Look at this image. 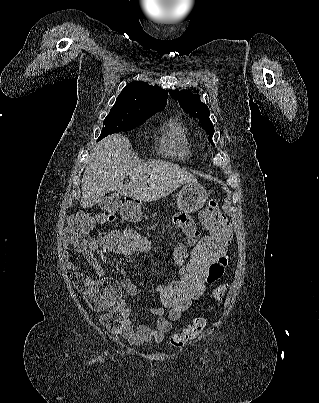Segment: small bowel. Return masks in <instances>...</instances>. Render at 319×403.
<instances>
[{
  "instance_id": "c3829d8e",
  "label": "small bowel",
  "mask_w": 319,
  "mask_h": 403,
  "mask_svg": "<svg viewBox=\"0 0 319 403\" xmlns=\"http://www.w3.org/2000/svg\"><path fill=\"white\" fill-rule=\"evenodd\" d=\"M173 223L180 227L189 239V241L185 240L183 244L177 245L173 254L174 261L178 266L179 275H183V268L187 265L185 259L191 253L189 245L194 246V243L198 242L201 236L194 221L186 214H176L173 218ZM67 238L69 239L68 236ZM64 255L66 258V268L70 272L77 271L79 267L69 261V248H65ZM121 255L125 256V254ZM85 256L93 267L97 278L90 279L88 291H86V300H88L90 309H104L105 315H102V324L107 329V334L119 335L131 344H140L148 340L162 341L165 334L171 328L170 322L180 319L182 313H168V318H164L162 317L164 313H158L157 309H152L153 313L160 316L156 331L143 325L134 326L130 320V311L126 305V296L121 294L125 290L129 296H136L137 287L135 283L130 278H123L121 285H117L116 279H100L104 276L105 270L96 256V252H86ZM226 261L227 255L222 253L219 258L210 263L211 274L205 280L206 285L212 286L218 282L224 271L223 266ZM172 282H177V280ZM158 294L160 298L161 291L158 290Z\"/></svg>"
}]
</instances>
